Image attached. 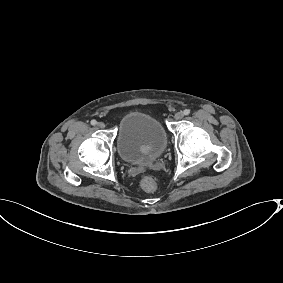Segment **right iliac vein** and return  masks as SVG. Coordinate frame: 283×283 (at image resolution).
Segmentation results:
<instances>
[{"mask_svg": "<svg viewBox=\"0 0 283 283\" xmlns=\"http://www.w3.org/2000/svg\"><path fill=\"white\" fill-rule=\"evenodd\" d=\"M97 127H98V128H101V129H102V128H105V124H104L103 122H98V123H97Z\"/></svg>", "mask_w": 283, "mask_h": 283, "instance_id": "obj_1", "label": "right iliac vein"}]
</instances>
